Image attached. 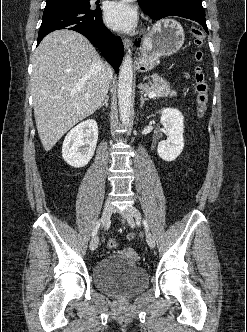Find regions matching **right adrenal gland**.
<instances>
[{
	"label": "right adrenal gland",
	"mask_w": 247,
	"mask_h": 332,
	"mask_svg": "<svg viewBox=\"0 0 247 332\" xmlns=\"http://www.w3.org/2000/svg\"><path fill=\"white\" fill-rule=\"evenodd\" d=\"M108 100H109V96L107 95L103 101V103L98 107V109L102 108L103 106H105L106 108L108 107Z\"/></svg>",
	"instance_id": "obj_1"
}]
</instances>
